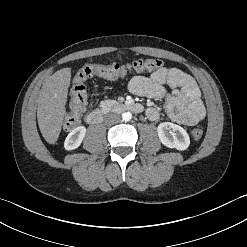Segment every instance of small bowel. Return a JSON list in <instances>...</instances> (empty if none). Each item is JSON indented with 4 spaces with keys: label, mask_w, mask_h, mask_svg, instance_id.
I'll return each instance as SVG.
<instances>
[{
    "label": "small bowel",
    "mask_w": 247,
    "mask_h": 247,
    "mask_svg": "<svg viewBox=\"0 0 247 247\" xmlns=\"http://www.w3.org/2000/svg\"><path fill=\"white\" fill-rule=\"evenodd\" d=\"M129 90L137 96L164 99L170 119L177 123L194 125L205 116L195 80L180 69L161 68L149 76H136L129 82ZM145 114L150 121L159 118V112L154 107H149Z\"/></svg>",
    "instance_id": "obj_1"
}]
</instances>
